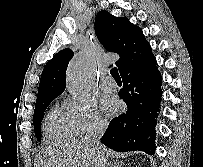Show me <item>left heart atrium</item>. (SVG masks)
I'll return each instance as SVG.
<instances>
[{
    "mask_svg": "<svg viewBox=\"0 0 203 167\" xmlns=\"http://www.w3.org/2000/svg\"><path fill=\"white\" fill-rule=\"evenodd\" d=\"M102 110L107 115H114L119 109V103L111 97H105L101 102Z\"/></svg>",
    "mask_w": 203,
    "mask_h": 167,
    "instance_id": "obj_1",
    "label": "left heart atrium"
}]
</instances>
